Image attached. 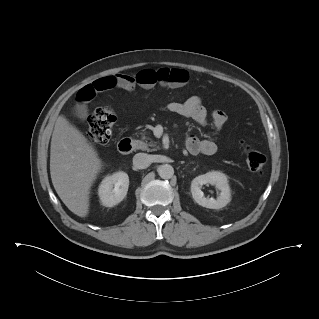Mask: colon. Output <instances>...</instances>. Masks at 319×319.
I'll use <instances>...</instances> for the list:
<instances>
[{"instance_id": "5ec220e1", "label": "colon", "mask_w": 319, "mask_h": 319, "mask_svg": "<svg viewBox=\"0 0 319 319\" xmlns=\"http://www.w3.org/2000/svg\"><path fill=\"white\" fill-rule=\"evenodd\" d=\"M116 115L111 107L98 108L89 118L87 140L92 144L104 145L111 138ZM246 164L251 172H260L266 163L265 155L251 147L245 149Z\"/></svg>"}]
</instances>
